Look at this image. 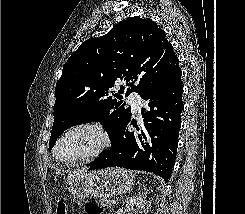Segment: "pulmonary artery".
Returning a JSON list of instances; mask_svg holds the SVG:
<instances>
[{
	"mask_svg": "<svg viewBox=\"0 0 245 214\" xmlns=\"http://www.w3.org/2000/svg\"><path fill=\"white\" fill-rule=\"evenodd\" d=\"M127 101L131 104L135 114L140 113L141 106L143 104L142 98L137 93H132L128 96Z\"/></svg>",
	"mask_w": 245,
	"mask_h": 214,
	"instance_id": "e3ab8cb5",
	"label": "pulmonary artery"
}]
</instances>
